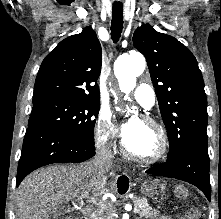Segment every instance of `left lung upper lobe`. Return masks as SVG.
I'll return each instance as SVG.
<instances>
[{
  "instance_id": "left-lung-upper-lobe-1",
  "label": "left lung upper lobe",
  "mask_w": 221,
  "mask_h": 219,
  "mask_svg": "<svg viewBox=\"0 0 221 219\" xmlns=\"http://www.w3.org/2000/svg\"><path fill=\"white\" fill-rule=\"evenodd\" d=\"M133 45L147 60L167 129L168 156L175 157L193 143L208 144L207 97L201 71L191 51L149 24L136 29Z\"/></svg>"
}]
</instances>
